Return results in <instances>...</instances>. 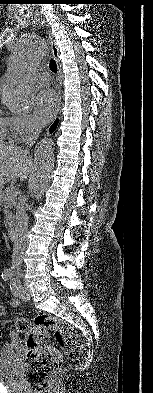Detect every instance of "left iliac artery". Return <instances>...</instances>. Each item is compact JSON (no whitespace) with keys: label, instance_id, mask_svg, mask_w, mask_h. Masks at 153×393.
Returning a JSON list of instances; mask_svg holds the SVG:
<instances>
[{"label":"left iliac artery","instance_id":"left-iliac-artery-1","mask_svg":"<svg viewBox=\"0 0 153 393\" xmlns=\"http://www.w3.org/2000/svg\"><path fill=\"white\" fill-rule=\"evenodd\" d=\"M18 281H16V279L14 278V279H12V281H11V284H10V288H11V290H12V292H13V294L15 295L16 294V289H18Z\"/></svg>","mask_w":153,"mask_h":393}]
</instances>
